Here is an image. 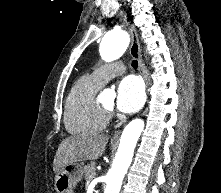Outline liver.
I'll list each match as a JSON object with an SVG mask.
<instances>
[{
	"label": "liver",
	"mask_w": 221,
	"mask_h": 193,
	"mask_svg": "<svg viewBox=\"0 0 221 193\" xmlns=\"http://www.w3.org/2000/svg\"><path fill=\"white\" fill-rule=\"evenodd\" d=\"M108 140L109 137L104 134H82L62 140L54 157V172L79 161L98 159L103 155Z\"/></svg>",
	"instance_id": "liver-1"
}]
</instances>
